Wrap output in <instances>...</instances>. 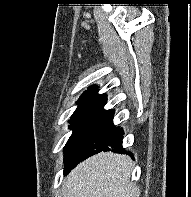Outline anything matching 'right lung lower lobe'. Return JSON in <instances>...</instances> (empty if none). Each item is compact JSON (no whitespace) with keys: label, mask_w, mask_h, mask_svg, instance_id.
I'll use <instances>...</instances> for the list:
<instances>
[{"label":"right lung lower lobe","mask_w":191,"mask_h":197,"mask_svg":"<svg viewBox=\"0 0 191 197\" xmlns=\"http://www.w3.org/2000/svg\"><path fill=\"white\" fill-rule=\"evenodd\" d=\"M105 104L106 99L93 108L84 121L71 149V156L65 163L64 175L81 161L101 151L125 152L121 146L123 129L114 126V110H104Z\"/></svg>","instance_id":"obj_1"}]
</instances>
